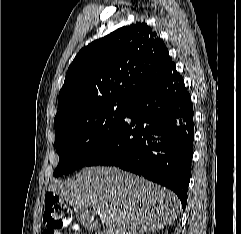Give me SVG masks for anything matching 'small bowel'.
<instances>
[{
  "label": "small bowel",
  "instance_id": "c3829d8e",
  "mask_svg": "<svg viewBox=\"0 0 241 234\" xmlns=\"http://www.w3.org/2000/svg\"><path fill=\"white\" fill-rule=\"evenodd\" d=\"M43 234H66V233L56 231V230H45Z\"/></svg>",
  "mask_w": 241,
  "mask_h": 234
}]
</instances>
